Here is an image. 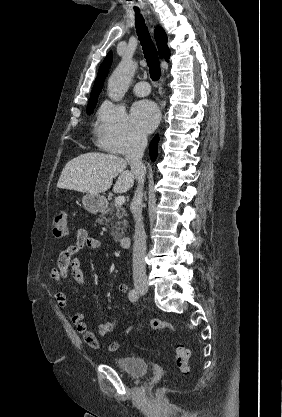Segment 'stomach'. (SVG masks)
Segmentation results:
<instances>
[{
	"label": "stomach",
	"instance_id": "1",
	"mask_svg": "<svg viewBox=\"0 0 282 417\" xmlns=\"http://www.w3.org/2000/svg\"><path fill=\"white\" fill-rule=\"evenodd\" d=\"M83 206L88 213H92V215H96V213H100L105 209L107 204L106 196H102V194H94V192H87L84 194L82 198Z\"/></svg>",
	"mask_w": 282,
	"mask_h": 417
}]
</instances>
